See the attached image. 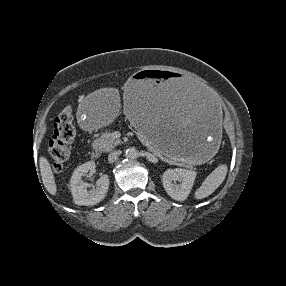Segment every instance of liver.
<instances>
[{"label": "liver", "instance_id": "6515ba94", "mask_svg": "<svg viewBox=\"0 0 286 286\" xmlns=\"http://www.w3.org/2000/svg\"><path fill=\"white\" fill-rule=\"evenodd\" d=\"M125 92H126V86H125ZM109 93L112 95H115L117 97V91L112 90ZM39 167H40V173L42 177V182L45 187V189L51 194L56 195L57 192V186L54 178V174L52 172L51 166L49 161L46 157L41 156L39 159Z\"/></svg>", "mask_w": 286, "mask_h": 286}]
</instances>
